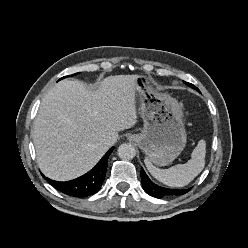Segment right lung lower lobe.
Instances as JSON below:
<instances>
[{
  "label": "right lung lower lobe",
  "mask_w": 248,
  "mask_h": 248,
  "mask_svg": "<svg viewBox=\"0 0 248 248\" xmlns=\"http://www.w3.org/2000/svg\"><path fill=\"white\" fill-rule=\"evenodd\" d=\"M114 147L110 148L96 166L85 175L67 182H58L44 177L54 188L60 192L74 196L87 197L96 193L105 179L108 158Z\"/></svg>",
  "instance_id": "right-lung-lower-lobe-1"
}]
</instances>
